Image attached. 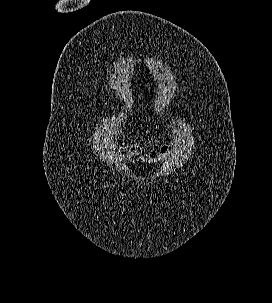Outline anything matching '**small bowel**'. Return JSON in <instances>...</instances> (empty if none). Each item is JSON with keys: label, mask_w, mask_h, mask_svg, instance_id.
<instances>
[{"label": "small bowel", "mask_w": 272, "mask_h": 303, "mask_svg": "<svg viewBox=\"0 0 272 303\" xmlns=\"http://www.w3.org/2000/svg\"><path fill=\"white\" fill-rule=\"evenodd\" d=\"M171 149L172 145L170 143H166L161 145L157 150L151 151L148 155L141 156L143 148L139 144L133 143L122 146L119 149V154L124 158L139 157V161L142 163L157 164L168 157L171 152Z\"/></svg>", "instance_id": "obj_1"}]
</instances>
